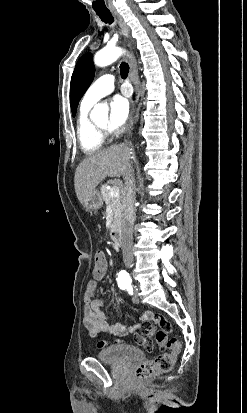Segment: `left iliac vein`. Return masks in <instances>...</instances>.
<instances>
[{"mask_svg":"<svg viewBox=\"0 0 247 413\" xmlns=\"http://www.w3.org/2000/svg\"><path fill=\"white\" fill-rule=\"evenodd\" d=\"M132 301H133V303H136V304L139 302V299H138L136 293H134V295H133V297H132Z\"/></svg>","mask_w":247,"mask_h":413,"instance_id":"4c4485c4","label":"left iliac vein"}]
</instances>
